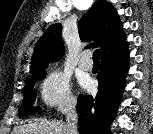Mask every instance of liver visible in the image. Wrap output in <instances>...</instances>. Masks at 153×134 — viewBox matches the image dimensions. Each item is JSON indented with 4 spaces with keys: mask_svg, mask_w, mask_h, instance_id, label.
Here are the masks:
<instances>
[{
    "mask_svg": "<svg viewBox=\"0 0 153 134\" xmlns=\"http://www.w3.org/2000/svg\"><path fill=\"white\" fill-rule=\"evenodd\" d=\"M13 134H67L66 124L58 121H35L17 126Z\"/></svg>",
    "mask_w": 153,
    "mask_h": 134,
    "instance_id": "1",
    "label": "liver"
}]
</instances>
